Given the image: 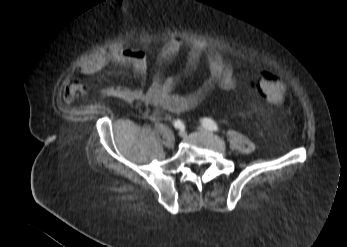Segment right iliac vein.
I'll list each match as a JSON object with an SVG mask.
<instances>
[{"mask_svg": "<svg viewBox=\"0 0 347 247\" xmlns=\"http://www.w3.org/2000/svg\"><path fill=\"white\" fill-rule=\"evenodd\" d=\"M178 134H179L180 137H185L186 136V132L183 129H181Z\"/></svg>", "mask_w": 347, "mask_h": 247, "instance_id": "63e3f726", "label": "right iliac vein"}]
</instances>
